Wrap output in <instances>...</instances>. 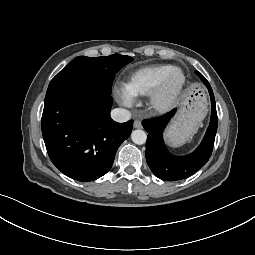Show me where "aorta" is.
Listing matches in <instances>:
<instances>
[{"instance_id": "aorta-1", "label": "aorta", "mask_w": 255, "mask_h": 255, "mask_svg": "<svg viewBox=\"0 0 255 255\" xmlns=\"http://www.w3.org/2000/svg\"><path fill=\"white\" fill-rule=\"evenodd\" d=\"M131 138L135 144L142 145L146 142L147 135L143 130L138 129V130H134L131 133Z\"/></svg>"}]
</instances>
